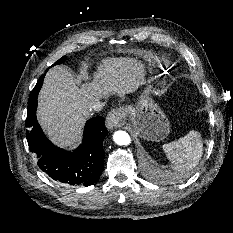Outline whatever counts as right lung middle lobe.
I'll return each instance as SVG.
<instances>
[{
  "instance_id": "1",
  "label": "right lung middle lobe",
  "mask_w": 233,
  "mask_h": 233,
  "mask_svg": "<svg viewBox=\"0 0 233 233\" xmlns=\"http://www.w3.org/2000/svg\"><path fill=\"white\" fill-rule=\"evenodd\" d=\"M64 60H65V57H62L61 59H59L58 61H56V62L53 64V66H54V65H57V64H61Z\"/></svg>"
}]
</instances>
